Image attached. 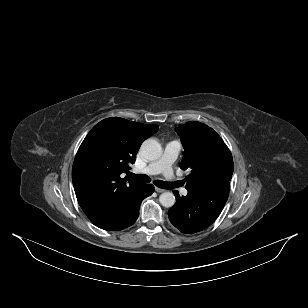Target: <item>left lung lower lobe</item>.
<instances>
[{
  "label": "left lung lower lobe",
  "instance_id": "0a47b994",
  "mask_svg": "<svg viewBox=\"0 0 308 308\" xmlns=\"http://www.w3.org/2000/svg\"><path fill=\"white\" fill-rule=\"evenodd\" d=\"M176 203L168 211L171 223L182 233L193 234L211 225L221 213L229 195V182L207 186L187 196L173 191Z\"/></svg>",
  "mask_w": 308,
  "mask_h": 308
}]
</instances>
